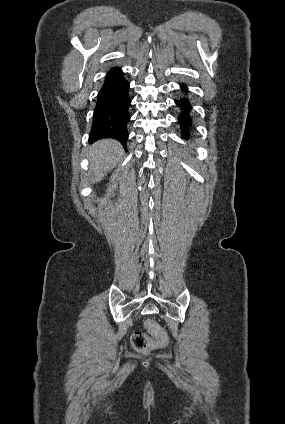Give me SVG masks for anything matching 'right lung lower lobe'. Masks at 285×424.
Here are the masks:
<instances>
[{
  "mask_svg": "<svg viewBox=\"0 0 285 424\" xmlns=\"http://www.w3.org/2000/svg\"><path fill=\"white\" fill-rule=\"evenodd\" d=\"M129 87L130 84L119 67L109 70L97 97L90 142L113 138L120 141L125 148L128 139L126 126L130 119L128 108L131 104Z\"/></svg>",
  "mask_w": 285,
  "mask_h": 424,
  "instance_id": "1",
  "label": "right lung lower lobe"
}]
</instances>
